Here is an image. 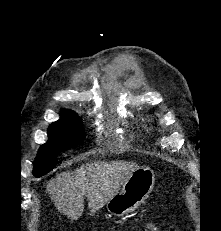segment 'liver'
<instances>
[{"mask_svg":"<svg viewBox=\"0 0 221 231\" xmlns=\"http://www.w3.org/2000/svg\"><path fill=\"white\" fill-rule=\"evenodd\" d=\"M136 163L125 161L99 162L82 165L74 172H63L46 186L57 210L72 220H78L84 210V196L88 208L100 210L138 169Z\"/></svg>","mask_w":221,"mask_h":231,"instance_id":"6515ba94","label":"liver"}]
</instances>
